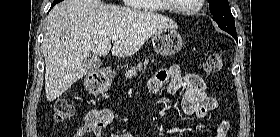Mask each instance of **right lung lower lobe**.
I'll return each instance as SVG.
<instances>
[{
	"instance_id": "right-lung-lower-lobe-1",
	"label": "right lung lower lobe",
	"mask_w": 280,
	"mask_h": 137,
	"mask_svg": "<svg viewBox=\"0 0 280 137\" xmlns=\"http://www.w3.org/2000/svg\"><path fill=\"white\" fill-rule=\"evenodd\" d=\"M60 1H54L53 2V4L51 5V8L54 6V5H56L57 3H59ZM51 8H50V10H51Z\"/></svg>"
}]
</instances>
